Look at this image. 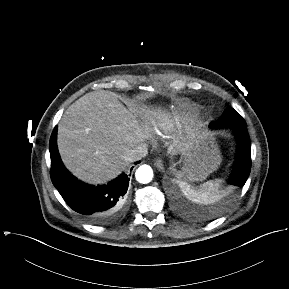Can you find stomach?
I'll return each instance as SVG.
<instances>
[{"label":"stomach","mask_w":289,"mask_h":289,"mask_svg":"<svg viewBox=\"0 0 289 289\" xmlns=\"http://www.w3.org/2000/svg\"><path fill=\"white\" fill-rule=\"evenodd\" d=\"M186 170L190 175L205 177L216 170L221 163V156L215 139L207 133L190 136L182 149Z\"/></svg>","instance_id":"0dacf381"}]
</instances>
